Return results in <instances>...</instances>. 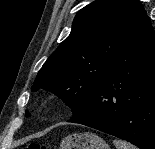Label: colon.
I'll list each match as a JSON object with an SVG mask.
<instances>
[{"instance_id": "obj_1", "label": "colon", "mask_w": 155, "mask_h": 149, "mask_svg": "<svg viewBox=\"0 0 155 149\" xmlns=\"http://www.w3.org/2000/svg\"><path fill=\"white\" fill-rule=\"evenodd\" d=\"M27 149H47V146L38 142H31L28 144Z\"/></svg>"}]
</instances>
